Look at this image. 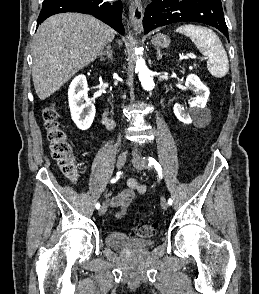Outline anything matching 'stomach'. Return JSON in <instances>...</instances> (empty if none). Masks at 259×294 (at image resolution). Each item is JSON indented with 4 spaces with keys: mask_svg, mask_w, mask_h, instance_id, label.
Returning <instances> with one entry per match:
<instances>
[{
    "mask_svg": "<svg viewBox=\"0 0 259 294\" xmlns=\"http://www.w3.org/2000/svg\"><path fill=\"white\" fill-rule=\"evenodd\" d=\"M152 44L157 48H166L170 45V39L163 34H157L152 38Z\"/></svg>",
    "mask_w": 259,
    "mask_h": 294,
    "instance_id": "stomach-1",
    "label": "stomach"
}]
</instances>
